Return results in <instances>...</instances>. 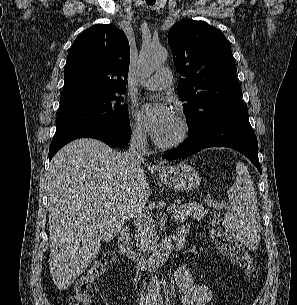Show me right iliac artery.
Returning <instances> with one entry per match:
<instances>
[{"label":"right iliac artery","mask_w":297,"mask_h":305,"mask_svg":"<svg viewBox=\"0 0 297 305\" xmlns=\"http://www.w3.org/2000/svg\"><path fill=\"white\" fill-rule=\"evenodd\" d=\"M154 301H155V298L152 297V296H149V297L146 298V301H145L144 305H153Z\"/></svg>","instance_id":"82829eb1"}]
</instances>
